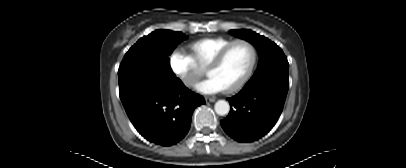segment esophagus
Instances as JSON below:
<instances>
[{"label":"esophagus","mask_w":406,"mask_h":168,"mask_svg":"<svg viewBox=\"0 0 406 168\" xmlns=\"http://www.w3.org/2000/svg\"><path fill=\"white\" fill-rule=\"evenodd\" d=\"M216 99L214 98V97H205V101L207 102V103H211V102H214Z\"/></svg>","instance_id":"1"}]
</instances>
